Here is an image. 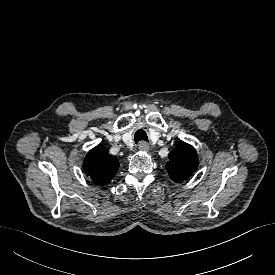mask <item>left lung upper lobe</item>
<instances>
[{"label": "left lung upper lobe", "instance_id": "5c2ea615", "mask_svg": "<svg viewBox=\"0 0 275 275\" xmlns=\"http://www.w3.org/2000/svg\"><path fill=\"white\" fill-rule=\"evenodd\" d=\"M166 164L171 180L182 182L189 178L198 167V155L189 144L180 141L176 148L168 155Z\"/></svg>", "mask_w": 275, "mask_h": 275}]
</instances>
